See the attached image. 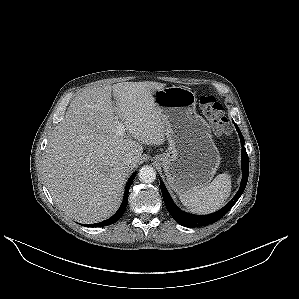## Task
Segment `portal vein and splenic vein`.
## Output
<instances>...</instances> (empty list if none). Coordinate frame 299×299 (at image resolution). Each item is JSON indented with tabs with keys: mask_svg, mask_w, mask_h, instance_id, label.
Instances as JSON below:
<instances>
[{
	"mask_svg": "<svg viewBox=\"0 0 299 299\" xmlns=\"http://www.w3.org/2000/svg\"><path fill=\"white\" fill-rule=\"evenodd\" d=\"M124 130H125L124 126L120 125L119 128H118L119 133L122 134L124 132Z\"/></svg>",
	"mask_w": 299,
	"mask_h": 299,
	"instance_id": "portal-vein-and-splenic-vein-1",
	"label": "portal vein and splenic vein"
}]
</instances>
